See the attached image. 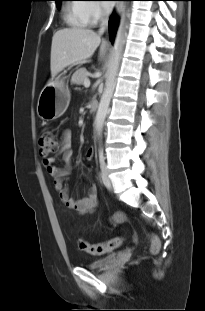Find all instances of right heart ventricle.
<instances>
[{
    "label": "right heart ventricle",
    "instance_id": "e07e8e85",
    "mask_svg": "<svg viewBox=\"0 0 205 311\" xmlns=\"http://www.w3.org/2000/svg\"><path fill=\"white\" fill-rule=\"evenodd\" d=\"M84 7H85L84 4L79 3L67 5L65 10V19L70 26L80 28L85 27L90 23L85 13Z\"/></svg>",
    "mask_w": 205,
    "mask_h": 311
}]
</instances>
